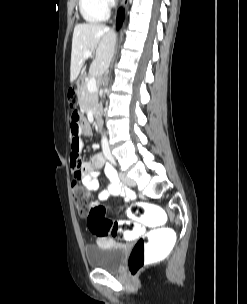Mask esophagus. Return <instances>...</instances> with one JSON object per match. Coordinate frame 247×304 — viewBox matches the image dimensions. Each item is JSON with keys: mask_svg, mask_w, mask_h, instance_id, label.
<instances>
[{"mask_svg": "<svg viewBox=\"0 0 247 304\" xmlns=\"http://www.w3.org/2000/svg\"><path fill=\"white\" fill-rule=\"evenodd\" d=\"M128 0H123L122 1V5H125L127 3ZM116 20V18H114V21Z\"/></svg>", "mask_w": 247, "mask_h": 304, "instance_id": "obj_1", "label": "esophagus"}]
</instances>
